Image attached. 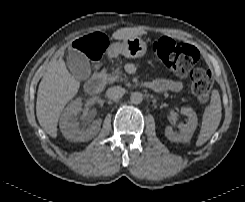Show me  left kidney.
<instances>
[{"label":"left kidney","instance_id":"obj_1","mask_svg":"<svg viewBox=\"0 0 245 202\" xmlns=\"http://www.w3.org/2000/svg\"><path fill=\"white\" fill-rule=\"evenodd\" d=\"M180 113L187 116L186 124H181L179 133L173 131L172 127L165 128V136L172 142H189L198 124L196 113L192 108L182 107Z\"/></svg>","mask_w":245,"mask_h":202}]
</instances>
